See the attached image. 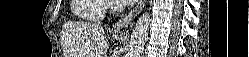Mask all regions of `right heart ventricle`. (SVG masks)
Listing matches in <instances>:
<instances>
[{"instance_id":"right-heart-ventricle-1","label":"right heart ventricle","mask_w":249,"mask_h":57,"mask_svg":"<svg viewBox=\"0 0 249 57\" xmlns=\"http://www.w3.org/2000/svg\"><path fill=\"white\" fill-rule=\"evenodd\" d=\"M103 0H73L72 11L75 16L86 21L100 20L106 9Z\"/></svg>"}]
</instances>
